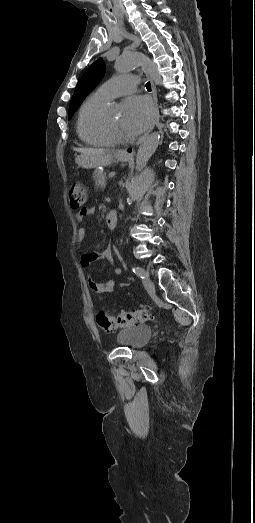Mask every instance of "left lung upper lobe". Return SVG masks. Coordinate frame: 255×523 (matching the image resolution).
I'll return each instance as SVG.
<instances>
[{"mask_svg":"<svg viewBox=\"0 0 255 523\" xmlns=\"http://www.w3.org/2000/svg\"><path fill=\"white\" fill-rule=\"evenodd\" d=\"M104 73L105 64L103 62V59L99 58L83 74V76L77 83L74 94L72 96L69 105L68 119H71L73 113L81 105V103L89 94V92L92 91L99 84V82L103 78Z\"/></svg>","mask_w":255,"mask_h":523,"instance_id":"1","label":"left lung upper lobe"}]
</instances>
